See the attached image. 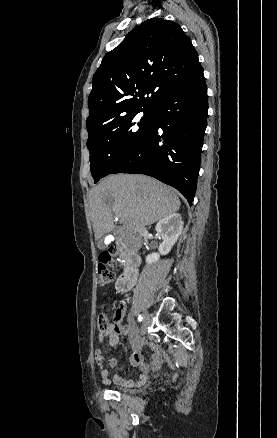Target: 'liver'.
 I'll use <instances>...</instances> for the list:
<instances>
[{"label": "liver", "instance_id": "obj_1", "mask_svg": "<svg viewBox=\"0 0 277 438\" xmlns=\"http://www.w3.org/2000/svg\"><path fill=\"white\" fill-rule=\"evenodd\" d=\"M89 202L95 240L114 230L112 212L123 230L141 232L181 206L173 188L142 174L108 176L92 188Z\"/></svg>", "mask_w": 277, "mask_h": 438}]
</instances>
